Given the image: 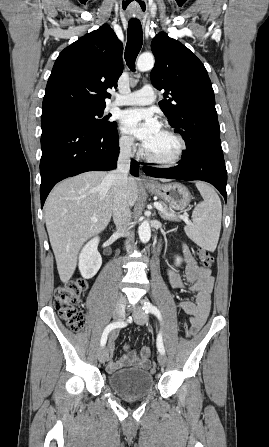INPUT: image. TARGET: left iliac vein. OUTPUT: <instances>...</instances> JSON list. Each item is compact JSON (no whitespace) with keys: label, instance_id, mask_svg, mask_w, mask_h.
<instances>
[{"label":"left iliac vein","instance_id":"left-iliac-vein-1","mask_svg":"<svg viewBox=\"0 0 269 447\" xmlns=\"http://www.w3.org/2000/svg\"><path fill=\"white\" fill-rule=\"evenodd\" d=\"M133 311L134 320L138 325H144L145 323H147L148 317L145 311H143L141 308H134ZM157 360L160 366H166L167 357L164 354L160 353L157 357Z\"/></svg>","mask_w":269,"mask_h":447}]
</instances>
